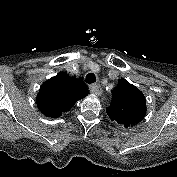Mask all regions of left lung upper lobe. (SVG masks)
<instances>
[{"mask_svg":"<svg viewBox=\"0 0 177 177\" xmlns=\"http://www.w3.org/2000/svg\"><path fill=\"white\" fill-rule=\"evenodd\" d=\"M113 95V102L106 112L121 128L131 129L144 119L146 99L137 87L122 78Z\"/></svg>","mask_w":177,"mask_h":177,"instance_id":"1","label":"left lung upper lobe"}]
</instances>
